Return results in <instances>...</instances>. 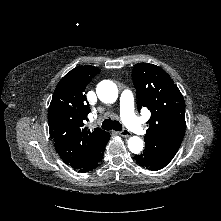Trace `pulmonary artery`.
I'll list each match as a JSON object with an SVG mask.
<instances>
[{
	"instance_id": "1",
	"label": "pulmonary artery",
	"mask_w": 221,
	"mask_h": 221,
	"mask_svg": "<svg viewBox=\"0 0 221 221\" xmlns=\"http://www.w3.org/2000/svg\"><path fill=\"white\" fill-rule=\"evenodd\" d=\"M120 113L126 126L137 134L143 133V127L134 113V99L130 91L125 90L120 96Z\"/></svg>"
}]
</instances>
